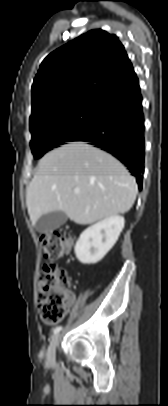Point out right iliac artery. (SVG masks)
<instances>
[{"label":"right iliac artery","mask_w":168,"mask_h":406,"mask_svg":"<svg viewBox=\"0 0 168 406\" xmlns=\"http://www.w3.org/2000/svg\"><path fill=\"white\" fill-rule=\"evenodd\" d=\"M61 330H62V327H61V326H58V327H56V328L53 330V333H54V334H57V333H59Z\"/></svg>","instance_id":"obj_1"}]
</instances>
